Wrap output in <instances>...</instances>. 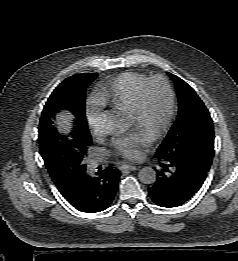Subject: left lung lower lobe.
Returning <instances> with one entry per match:
<instances>
[{
    "label": "left lung lower lobe",
    "mask_w": 238,
    "mask_h": 261,
    "mask_svg": "<svg viewBox=\"0 0 238 261\" xmlns=\"http://www.w3.org/2000/svg\"><path fill=\"white\" fill-rule=\"evenodd\" d=\"M149 196L161 207H177L187 202L204 183L209 168L198 163L161 160Z\"/></svg>",
    "instance_id": "1"
}]
</instances>
